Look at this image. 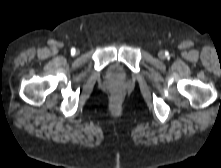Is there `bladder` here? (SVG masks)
<instances>
[{
	"label": "bladder",
	"mask_w": 221,
	"mask_h": 168,
	"mask_svg": "<svg viewBox=\"0 0 221 168\" xmlns=\"http://www.w3.org/2000/svg\"><path fill=\"white\" fill-rule=\"evenodd\" d=\"M110 74L112 76H117L119 74V71H118V65H113L111 68H110Z\"/></svg>",
	"instance_id": "obj_1"
}]
</instances>
